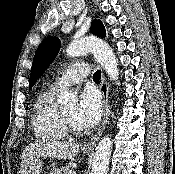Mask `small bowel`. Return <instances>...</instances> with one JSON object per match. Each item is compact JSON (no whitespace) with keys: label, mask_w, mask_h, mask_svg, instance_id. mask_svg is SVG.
<instances>
[{"label":"small bowel","mask_w":175,"mask_h":174,"mask_svg":"<svg viewBox=\"0 0 175 174\" xmlns=\"http://www.w3.org/2000/svg\"><path fill=\"white\" fill-rule=\"evenodd\" d=\"M52 174H59V173H57V172H54V173H52Z\"/></svg>","instance_id":"c3829d8e"}]
</instances>
